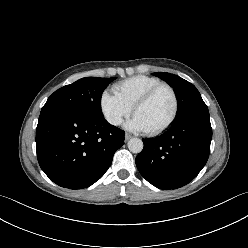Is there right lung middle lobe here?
Segmentation results:
<instances>
[{
  "label": "right lung middle lobe",
  "mask_w": 248,
  "mask_h": 248,
  "mask_svg": "<svg viewBox=\"0 0 248 248\" xmlns=\"http://www.w3.org/2000/svg\"><path fill=\"white\" fill-rule=\"evenodd\" d=\"M113 78L85 77L55 91L43 106L41 112L68 108L93 117L103 118L100 98L103 90Z\"/></svg>",
  "instance_id": "obj_1"
}]
</instances>
